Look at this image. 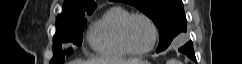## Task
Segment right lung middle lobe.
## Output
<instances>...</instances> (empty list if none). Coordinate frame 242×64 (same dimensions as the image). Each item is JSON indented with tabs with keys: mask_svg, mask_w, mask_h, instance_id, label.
I'll use <instances>...</instances> for the list:
<instances>
[{
	"mask_svg": "<svg viewBox=\"0 0 242 64\" xmlns=\"http://www.w3.org/2000/svg\"><path fill=\"white\" fill-rule=\"evenodd\" d=\"M92 13L87 15H83L78 19L56 23V34L53 37L54 42V56L50 61V64H63L65 54L67 56L73 53V49L69 48L67 51H62V43L71 42L75 45H81L83 39V30L87 23L86 17Z\"/></svg>",
	"mask_w": 242,
	"mask_h": 64,
	"instance_id": "right-lung-middle-lobe-1",
	"label": "right lung middle lobe"
}]
</instances>
